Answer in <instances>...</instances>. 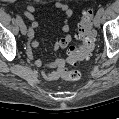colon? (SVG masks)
<instances>
[{
    "mask_svg": "<svg viewBox=\"0 0 119 119\" xmlns=\"http://www.w3.org/2000/svg\"><path fill=\"white\" fill-rule=\"evenodd\" d=\"M93 10L86 9L78 27L77 38L80 44L76 47H70L67 56V64L76 65L86 60L94 48V32L92 29ZM60 77L64 80L76 81L80 79L81 74L77 70H68L65 65L61 71Z\"/></svg>",
    "mask_w": 119,
    "mask_h": 119,
    "instance_id": "colon-1",
    "label": "colon"
}]
</instances>
